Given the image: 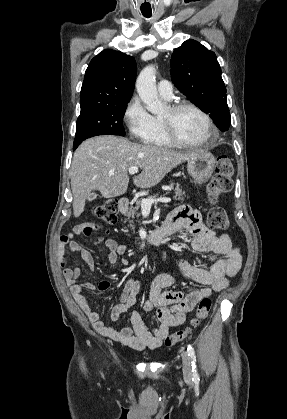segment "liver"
I'll return each mask as SVG.
<instances>
[{"label":"liver","instance_id":"liver-1","mask_svg":"<svg viewBox=\"0 0 287 419\" xmlns=\"http://www.w3.org/2000/svg\"><path fill=\"white\" fill-rule=\"evenodd\" d=\"M199 152H177L112 135L85 140L73 155L69 173L74 217L83 213L85 201L93 190H99L104 198L123 195L128 188L130 167L142 169L133 178L134 185L150 188Z\"/></svg>","mask_w":287,"mask_h":419}]
</instances>
